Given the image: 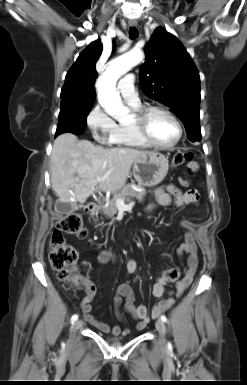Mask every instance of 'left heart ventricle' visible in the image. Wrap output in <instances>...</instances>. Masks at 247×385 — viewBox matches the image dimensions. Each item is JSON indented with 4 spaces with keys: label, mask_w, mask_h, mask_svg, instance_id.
Returning <instances> with one entry per match:
<instances>
[{
    "label": "left heart ventricle",
    "mask_w": 247,
    "mask_h": 385,
    "mask_svg": "<svg viewBox=\"0 0 247 385\" xmlns=\"http://www.w3.org/2000/svg\"><path fill=\"white\" fill-rule=\"evenodd\" d=\"M148 132L151 138L159 144H170L177 137L175 123L167 115L155 112L148 120Z\"/></svg>",
    "instance_id": "b2bd125f"
}]
</instances>
